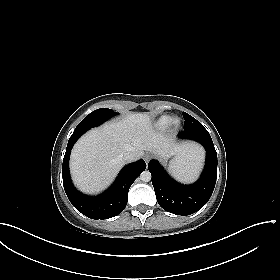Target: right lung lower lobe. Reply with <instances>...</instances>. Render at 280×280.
Instances as JSON below:
<instances>
[{"mask_svg":"<svg viewBox=\"0 0 280 280\" xmlns=\"http://www.w3.org/2000/svg\"><path fill=\"white\" fill-rule=\"evenodd\" d=\"M84 132L85 130L73 132L68 141L62 165L63 186L71 204L79 212L91 219H108L124 210L128 200L129 188L141 172L145 170L146 163L139 160L127 165L106 192L96 197L86 196L74 188L69 174L71 149Z\"/></svg>","mask_w":280,"mask_h":280,"instance_id":"1","label":"right lung lower lobe"}]
</instances>
